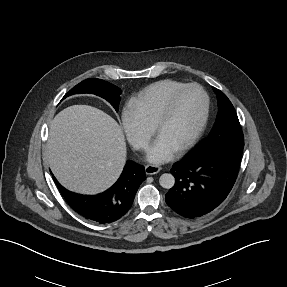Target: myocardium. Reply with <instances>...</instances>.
<instances>
[{
	"label": "myocardium",
	"mask_w": 287,
	"mask_h": 287,
	"mask_svg": "<svg viewBox=\"0 0 287 287\" xmlns=\"http://www.w3.org/2000/svg\"><path fill=\"white\" fill-rule=\"evenodd\" d=\"M189 89H196L202 94V96H203L202 115H201V119H200L198 125L196 126V128L194 129L192 134L188 137V139L180 147H178L176 149V152H178V153L184 152L185 150L189 149L197 141V139L200 137V135L202 134V132L204 131V129L206 127L208 117H209V107H210V101H209V97H208V94L206 93V91L200 85L194 84V83L185 84L184 86L180 87L179 89L174 91L169 96V98L167 99L162 111L160 112V114H159V116H158V118H157V120L153 126V133L155 136H157L160 128L165 124V122L170 117L176 99L183 92H185Z\"/></svg>",
	"instance_id": "f54148a6"
}]
</instances>
